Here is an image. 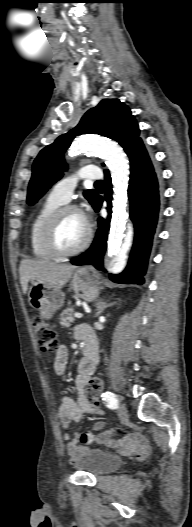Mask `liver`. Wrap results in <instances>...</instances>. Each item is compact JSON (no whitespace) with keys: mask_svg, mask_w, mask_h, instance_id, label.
<instances>
[{"mask_svg":"<svg viewBox=\"0 0 192 527\" xmlns=\"http://www.w3.org/2000/svg\"><path fill=\"white\" fill-rule=\"evenodd\" d=\"M76 266L56 263L45 259H23L19 274L22 291L27 293L30 280L43 283L54 290H60L69 281Z\"/></svg>","mask_w":192,"mask_h":527,"instance_id":"obj_1","label":"liver"}]
</instances>
